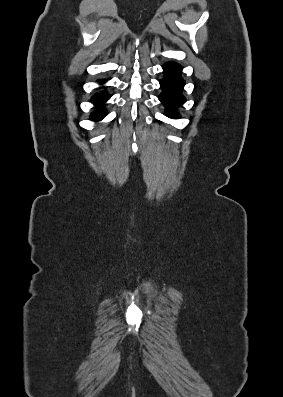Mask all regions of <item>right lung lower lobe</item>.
Instances as JSON below:
<instances>
[{
    "instance_id": "98d812e1",
    "label": "right lung lower lobe",
    "mask_w": 283,
    "mask_h": 397,
    "mask_svg": "<svg viewBox=\"0 0 283 397\" xmlns=\"http://www.w3.org/2000/svg\"><path fill=\"white\" fill-rule=\"evenodd\" d=\"M103 82H105V81H103V80L100 81V83H103ZM109 98H110V95H109V94L105 95V94H98V93H96V94H94V95L91 97V102H93V103L96 105V104L105 102V101H106L107 99H109ZM107 114H108V113L105 112L104 110H101V111L98 112V113L95 111V112H93V113L90 114V119H91V120H101V119H103Z\"/></svg>"
}]
</instances>
